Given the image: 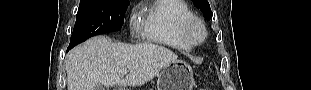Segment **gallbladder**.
Listing matches in <instances>:
<instances>
[{"instance_id":"bac80fb5","label":"gallbladder","mask_w":311,"mask_h":90,"mask_svg":"<svg viewBox=\"0 0 311 90\" xmlns=\"http://www.w3.org/2000/svg\"><path fill=\"white\" fill-rule=\"evenodd\" d=\"M95 90H105L103 85H98Z\"/></svg>"}]
</instances>
